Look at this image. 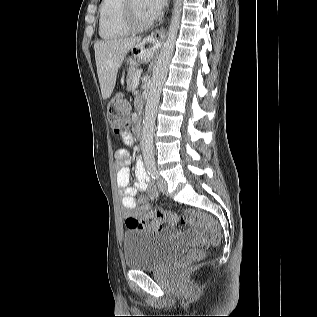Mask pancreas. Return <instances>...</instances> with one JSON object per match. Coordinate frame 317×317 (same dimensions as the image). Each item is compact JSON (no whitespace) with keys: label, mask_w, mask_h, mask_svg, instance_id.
<instances>
[{"label":"pancreas","mask_w":317,"mask_h":317,"mask_svg":"<svg viewBox=\"0 0 317 317\" xmlns=\"http://www.w3.org/2000/svg\"><path fill=\"white\" fill-rule=\"evenodd\" d=\"M136 72L137 70L135 69V71L133 73H131L130 75H127V79H126V82H127V88H126V91L128 93H133L135 91V83H134V79H135V76H136Z\"/></svg>","instance_id":"obj_1"}]
</instances>
